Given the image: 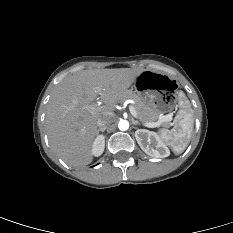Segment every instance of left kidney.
I'll return each mask as SVG.
<instances>
[{
    "label": "left kidney",
    "instance_id": "5707ae66",
    "mask_svg": "<svg viewBox=\"0 0 233 233\" xmlns=\"http://www.w3.org/2000/svg\"><path fill=\"white\" fill-rule=\"evenodd\" d=\"M135 138L140 148L151 157L165 158L170 155L168 147L155 132L138 129L135 131Z\"/></svg>",
    "mask_w": 233,
    "mask_h": 233
}]
</instances>
